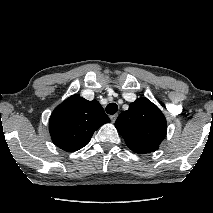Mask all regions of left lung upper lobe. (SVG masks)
Masks as SVG:
<instances>
[{
  "mask_svg": "<svg viewBox=\"0 0 213 213\" xmlns=\"http://www.w3.org/2000/svg\"><path fill=\"white\" fill-rule=\"evenodd\" d=\"M115 127L127 146L138 154L154 152L167 133V122L161 110L147 98H138L122 112Z\"/></svg>",
  "mask_w": 213,
  "mask_h": 213,
  "instance_id": "5c2ea615",
  "label": "left lung upper lobe"
}]
</instances>
